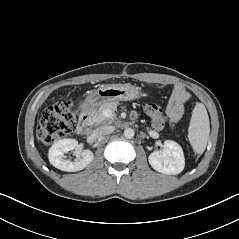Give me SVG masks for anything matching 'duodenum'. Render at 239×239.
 <instances>
[{"label": "duodenum", "instance_id": "410a0bca", "mask_svg": "<svg viewBox=\"0 0 239 239\" xmlns=\"http://www.w3.org/2000/svg\"><path fill=\"white\" fill-rule=\"evenodd\" d=\"M91 114L89 112H85L77 126L78 134H82L90 125Z\"/></svg>", "mask_w": 239, "mask_h": 239}]
</instances>
